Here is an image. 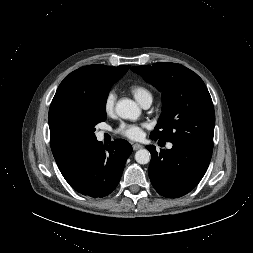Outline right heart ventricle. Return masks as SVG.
I'll return each mask as SVG.
<instances>
[{
    "label": "right heart ventricle",
    "instance_id": "obj_1",
    "mask_svg": "<svg viewBox=\"0 0 253 253\" xmlns=\"http://www.w3.org/2000/svg\"><path fill=\"white\" fill-rule=\"evenodd\" d=\"M129 92L133 95V97L137 100L139 104H143L146 101H152L153 96L151 91L144 85L141 84H133L129 87Z\"/></svg>",
    "mask_w": 253,
    "mask_h": 253
}]
</instances>
